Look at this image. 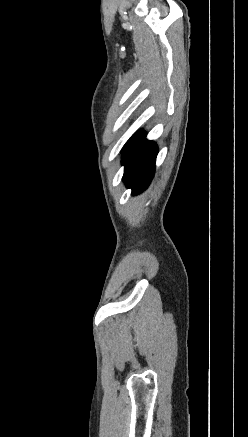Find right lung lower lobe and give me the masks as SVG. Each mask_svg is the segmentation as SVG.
I'll return each instance as SVG.
<instances>
[{"mask_svg": "<svg viewBox=\"0 0 248 437\" xmlns=\"http://www.w3.org/2000/svg\"><path fill=\"white\" fill-rule=\"evenodd\" d=\"M145 137L146 134L142 130L138 131L122 151V164L125 166L123 180L134 195L148 187L155 169L158 148Z\"/></svg>", "mask_w": 248, "mask_h": 437, "instance_id": "right-lung-lower-lobe-1", "label": "right lung lower lobe"}]
</instances>
